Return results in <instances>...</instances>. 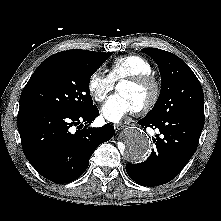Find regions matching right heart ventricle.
Masks as SVG:
<instances>
[{"mask_svg": "<svg viewBox=\"0 0 221 221\" xmlns=\"http://www.w3.org/2000/svg\"><path fill=\"white\" fill-rule=\"evenodd\" d=\"M153 68L150 62L140 55H125L116 58L110 65L109 76L115 82L124 78L152 74Z\"/></svg>", "mask_w": 221, "mask_h": 221, "instance_id": "1", "label": "right heart ventricle"}]
</instances>
